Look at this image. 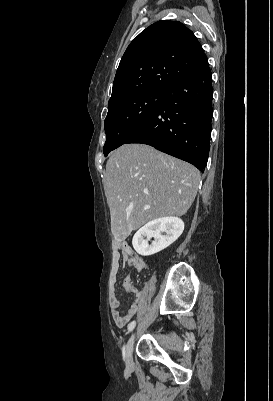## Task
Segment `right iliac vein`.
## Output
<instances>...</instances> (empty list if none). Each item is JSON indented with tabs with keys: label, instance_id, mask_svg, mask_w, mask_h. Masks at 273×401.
<instances>
[{
	"label": "right iliac vein",
	"instance_id": "63e3f726",
	"mask_svg": "<svg viewBox=\"0 0 273 401\" xmlns=\"http://www.w3.org/2000/svg\"><path fill=\"white\" fill-rule=\"evenodd\" d=\"M134 340H135V334L133 333V334L130 336V338H129V340H128L126 346H125V349H124V358H125V362H126V365H127L129 368H132L133 365H134V362H133Z\"/></svg>",
	"mask_w": 273,
	"mask_h": 401
}]
</instances>
